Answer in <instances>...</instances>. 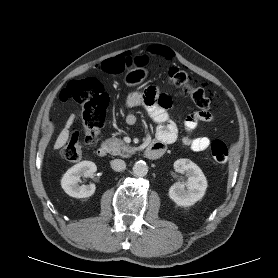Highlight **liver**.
Returning a JSON list of instances; mask_svg holds the SVG:
<instances>
[{"label":"liver","mask_w":278,"mask_h":278,"mask_svg":"<svg viewBox=\"0 0 278 278\" xmlns=\"http://www.w3.org/2000/svg\"><path fill=\"white\" fill-rule=\"evenodd\" d=\"M75 115L72 114L69 119L66 122L65 128L61 131V133L59 134L55 145H54V149H59L62 146H64L66 144V142L68 141L69 138V128L72 125L73 121H74Z\"/></svg>","instance_id":"6515ba94"}]
</instances>
